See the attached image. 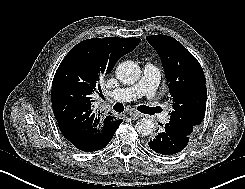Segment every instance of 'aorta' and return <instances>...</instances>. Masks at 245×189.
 <instances>
[{
  "mask_svg": "<svg viewBox=\"0 0 245 189\" xmlns=\"http://www.w3.org/2000/svg\"><path fill=\"white\" fill-rule=\"evenodd\" d=\"M140 68L133 61H124L116 68L118 80L124 84H133L139 80ZM155 128L154 121L149 118H142L136 123V131L143 136L150 135Z\"/></svg>",
  "mask_w": 245,
  "mask_h": 189,
  "instance_id": "aorta-1",
  "label": "aorta"
}]
</instances>
